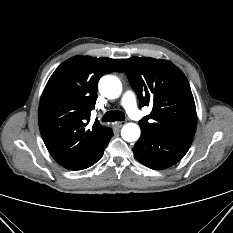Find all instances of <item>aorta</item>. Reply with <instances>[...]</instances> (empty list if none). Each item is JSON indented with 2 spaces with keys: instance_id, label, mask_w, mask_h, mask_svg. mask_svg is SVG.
<instances>
[{
  "instance_id": "obj_1",
  "label": "aorta",
  "mask_w": 233,
  "mask_h": 233,
  "mask_svg": "<svg viewBox=\"0 0 233 233\" xmlns=\"http://www.w3.org/2000/svg\"><path fill=\"white\" fill-rule=\"evenodd\" d=\"M99 90L103 96L115 99L121 94L122 84L116 76L106 75L99 81ZM140 133V127L135 123H127L121 130V136L127 142L138 140Z\"/></svg>"
}]
</instances>
